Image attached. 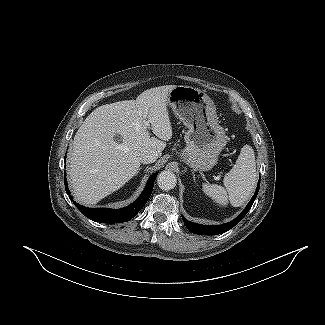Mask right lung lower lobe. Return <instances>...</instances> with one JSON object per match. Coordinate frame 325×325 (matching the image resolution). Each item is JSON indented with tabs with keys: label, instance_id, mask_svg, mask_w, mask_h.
Here are the masks:
<instances>
[{
	"label": "right lung lower lobe",
	"instance_id": "1",
	"mask_svg": "<svg viewBox=\"0 0 325 325\" xmlns=\"http://www.w3.org/2000/svg\"><path fill=\"white\" fill-rule=\"evenodd\" d=\"M66 173L64 172V175ZM158 172L153 174L151 178L149 179L144 191L140 195V197L131 205L121 208V209H106V208H87L82 205L77 204L75 201H73L72 197L70 196V199L73 201V204L89 219L101 222V223H121L126 222L132 219L137 215V213L141 210V208L146 204L148 201L154 181L156 179ZM64 184L66 185L65 189L67 194H70V191L67 187V179L66 175L64 176Z\"/></svg>",
	"mask_w": 325,
	"mask_h": 325
}]
</instances>
